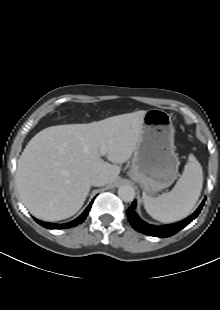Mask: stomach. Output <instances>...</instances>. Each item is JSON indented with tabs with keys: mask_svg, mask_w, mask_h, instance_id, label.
Listing matches in <instances>:
<instances>
[{
	"mask_svg": "<svg viewBox=\"0 0 220 310\" xmlns=\"http://www.w3.org/2000/svg\"><path fill=\"white\" fill-rule=\"evenodd\" d=\"M171 116L160 109L146 111L139 141L134 150L130 177L152 195L170 185L178 175Z\"/></svg>",
	"mask_w": 220,
	"mask_h": 310,
	"instance_id": "stomach-1",
	"label": "stomach"
}]
</instances>
